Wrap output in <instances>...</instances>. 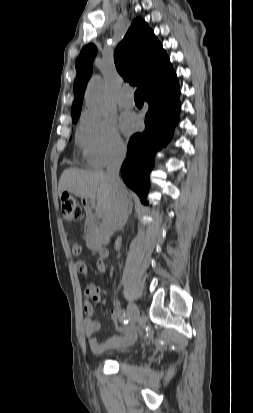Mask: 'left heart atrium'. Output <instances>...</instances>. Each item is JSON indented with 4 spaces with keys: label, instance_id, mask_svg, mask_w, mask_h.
Listing matches in <instances>:
<instances>
[{
    "label": "left heart atrium",
    "instance_id": "1",
    "mask_svg": "<svg viewBox=\"0 0 253 413\" xmlns=\"http://www.w3.org/2000/svg\"><path fill=\"white\" fill-rule=\"evenodd\" d=\"M140 125L138 117L134 114H124L121 118V127L124 132L132 133Z\"/></svg>",
    "mask_w": 253,
    "mask_h": 413
}]
</instances>
